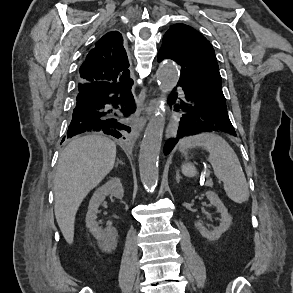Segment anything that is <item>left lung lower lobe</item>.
I'll use <instances>...</instances> for the list:
<instances>
[{"instance_id":"obj_1","label":"left lung lower lobe","mask_w":293,"mask_h":293,"mask_svg":"<svg viewBox=\"0 0 293 293\" xmlns=\"http://www.w3.org/2000/svg\"><path fill=\"white\" fill-rule=\"evenodd\" d=\"M181 88V94L173 91L169 96V104L174 106L180 122L176 137L164 146L165 154L174 148L179 139L200 132L223 131L236 136L226 104L207 101L192 90Z\"/></svg>"}]
</instances>
